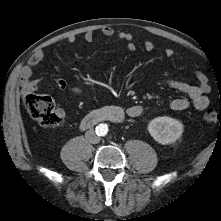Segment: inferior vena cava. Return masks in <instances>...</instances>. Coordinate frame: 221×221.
Instances as JSON below:
<instances>
[{
	"label": "inferior vena cava",
	"instance_id": "obj_1",
	"mask_svg": "<svg viewBox=\"0 0 221 221\" xmlns=\"http://www.w3.org/2000/svg\"><path fill=\"white\" fill-rule=\"evenodd\" d=\"M85 138L92 144H97L100 142V137L95 133L94 130H88L85 133Z\"/></svg>",
	"mask_w": 221,
	"mask_h": 221
}]
</instances>
